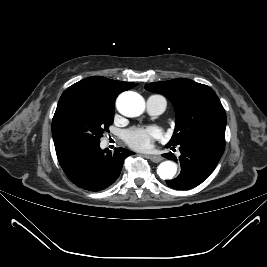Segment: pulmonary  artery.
<instances>
[{
    "instance_id": "e3ab8cb5",
    "label": "pulmonary artery",
    "mask_w": 267,
    "mask_h": 267,
    "mask_svg": "<svg viewBox=\"0 0 267 267\" xmlns=\"http://www.w3.org/2000/svg\"><path fill=\"white\" fill-rule=\"evenodd\" d=\"M146 106L151 115H159L165 111L167 101L161 95H151L147 98Z\"/></svg>"
}]
</instances>
